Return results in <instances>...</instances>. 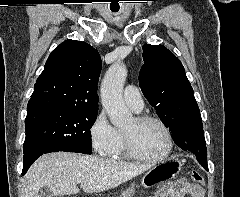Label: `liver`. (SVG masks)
<instances>
[{"mask_svg":"<svg viewBox=\"0 0 240 197\" xmlns=\"http://www.w3.org/2000/svg\"><path fill=\"white\" fill-rule=\"evenodd\" d=\"M151 168V165L104 159L94 155L56 152L40 156L23 180V197H38L41 188L53 195L86 193L115 188Z\"/></svg>","mask_w":240,"mask_h":197,"instance_id":"6515ba94","label":"liver"}]
</instances>
